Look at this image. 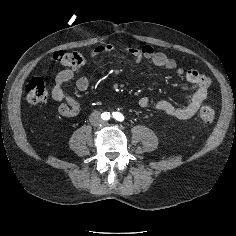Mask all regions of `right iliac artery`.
<instances>
[{"mask_svg": "<svg viewBox=\"0 0 236 236\" xmlns=\"http://www.w3.org/2000/svg\"><path fill=\"white\" fill-rule=\"evenodd\" d=\"M103 117L105 118V120L109 119L110 118V113H104L103 114Z\"/></svg>", "mask_w": 236, "mask_h": 236, "instance_id": "1", "label": "right iliac artery"}]
</instances>
